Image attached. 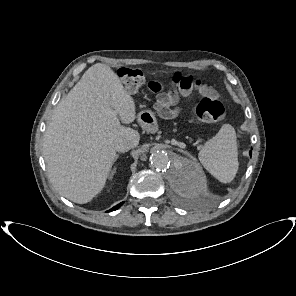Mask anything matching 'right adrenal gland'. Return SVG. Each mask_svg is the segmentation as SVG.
<instances>
[{
    "instance_id": "1",
    "label": "right adrenal gland",
    "mask_w": 296,
    "mask_h": 296,
    "mask_svg": "<svg viewBox=\"0 0 296 296\" xmlns=\"http://www.w3.org/2000/svg\"><path fill=\"white\" fill-rule=\"evenodd\" d=\"M118 158H119V155H116V157H115V161H116ZM115 171H116V168H114V170L112 171L111 174L114 175Z\"/></svg>"
}]
</instances>
